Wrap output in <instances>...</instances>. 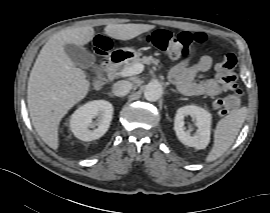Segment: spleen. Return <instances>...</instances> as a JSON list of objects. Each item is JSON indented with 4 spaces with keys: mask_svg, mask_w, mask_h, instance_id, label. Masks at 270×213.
Returning a JSON list of instances; mask_svg holds the SVG:
<instances>
[{
    "mask_svg": "<svg viewBox=\"0 0 270 213\" xmlns=\"http://www.w3.org/2000/svg\"><path fill=\"white\" fill-rule=\"evenodd\" d=\"M247 116L245 107L235 110L222 118L214 130V144L206 157L212 162L222 156L233 144Z\"/></svg>",
    "mask_w": 270,
    "mask_h": 213,
    "instance_id": "3e777b00",
    "label": "spleen"
}]
</instances>
